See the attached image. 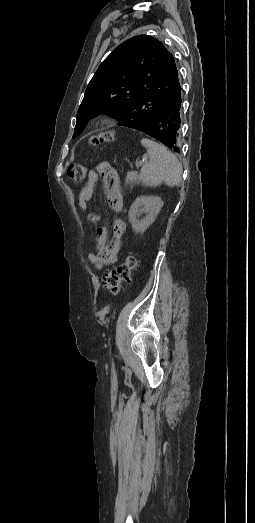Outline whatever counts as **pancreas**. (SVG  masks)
<instances>
[{"label": "pancreas", "mask_w": 255, "mask_h": 523, "mask_svg": "<svg viewBox=\"0 0 255 523\" xmlns=\"http://www.w3.org/2000/svg\"><path fill=\"white\" fill-rule=\"evenodd\" d=\"M139 180L138 174H134V172H128L125 180V184H137Z\"/></svg>", "instance_id": "obj_1"}]
</instances>
